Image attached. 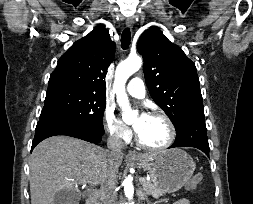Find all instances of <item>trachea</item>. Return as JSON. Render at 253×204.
<instances>
[{
    "mask_svg": "<svg viewBox=\"0 0 253 204\" xmlns=\"http://www.w3.org/2000/svg\"><path fill=\"white\" fill-rule=\"evenodd\" d=\"M131 41V32L129 28L124 29L121 35V47L123 50L128 49Z\"/></svg>",
    "mask_w": 253,
    "mask_h": 204,
    "instance_id": "3493384b",
    "label": "trachea"
}]
</instances>
